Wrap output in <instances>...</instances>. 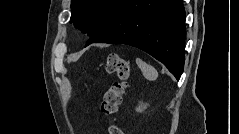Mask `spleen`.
<instances>
[{
    "label": "spleen",
    "instance_id": "obj_1",
    "mask_svg": "<svg viewBox=\"0 0 239 134\" xmlns=\"http://www.w3.org/2000/svg\"><path fill=\"white\" fill-rule=\"evenodd\" d=\"M136 64L138 65V67L141 69L143 76L149 80V81H153L156 80L158 77V72L156 71V69L147 64L146 62H144L143 60H141L140 58H136Z\"/></svg>",
    "mask_w": 239,
    "mask_h": 134
}]
</instances>
